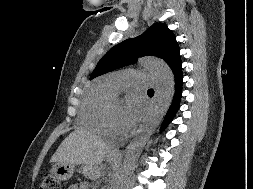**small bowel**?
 Instances as JSON below:
<instances>
[{
  "label": "small bowel",
  "instance_id": "c3829d8e",
  "mask_svg": "<svg viewBox=\"0 0 253 189\" xmlns=\"http://www.w3.org/2000/svg\"><path fill=\"white\" fill-rule=\"evenodd\" d=\"M71 189H88V186L85 183H81V184L72 186Z\"/></svg>",
  "mask_w": 253,
  "mask_h": 189
}]
</instances>
